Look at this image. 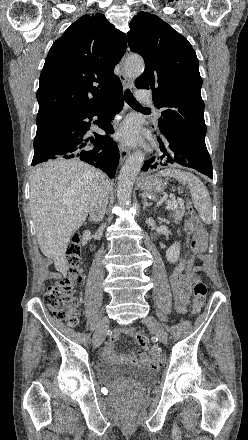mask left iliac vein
I'll use <instances>...</instances> for the list:
<instances>
[{
  "label": "left iliac vein",
  "mask_w": 248,
  "mask_h": 440,
  "mask_svg": "<svg viewBox=\"0 0 248 440\" xmlns=\"http://www.w3.org/2000/svg\"><path fill=\"white\" fill-rule=\"evenodd\" d=\"M142 322L158 337L162 343L167 342V334L160 322L153 316L145 317Z\"/></svg>",
  "instance_id": "1"
}]
</instances>
